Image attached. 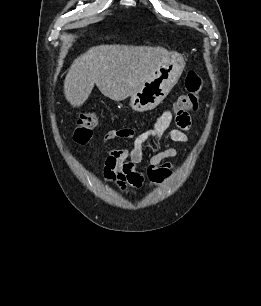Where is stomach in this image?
<instances>
[{
	"label": "stomach",
	"instance_id": "0dacf381",
	"mask_svg": "<svg viewBox=\"0 0 261 306\" xmlns=\"http://www.w3.org/2000/svg\"><path fill=\"white\" fill-rule=\"evenodd\" d=\"M185 67L179 53L172 52L150 71L146 81L130 95V107L137 112L154 109L177 83Z\"/></svg>",
	"mask_w": 261,
	"mask_h": 306
}]
</instances>
